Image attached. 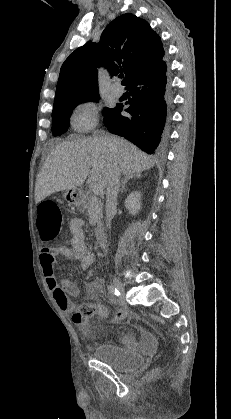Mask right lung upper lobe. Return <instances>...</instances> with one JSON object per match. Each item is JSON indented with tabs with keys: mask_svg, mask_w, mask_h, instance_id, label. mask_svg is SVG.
<instances>
[{
	"mask_svg": "<svg viewBox=\"0 0 231 419\" xmlns=\"http://www.w3.org/2000/svg\"><path fill=\"white\" fill-rule=\"evenodd\" d=\"M164 56L159 35L145 20L131 13L108 24L98 44L87 42L63 63L55 102L98 92L97 68L104 66L112 76L125 73L123 85L147 71Z\"/></svg>",
	"mask_w": 231,
	"mask_h": 419,
	"instance_id": "obj_1",
	"label": "right lung upper lobe"
}]
</instances>
